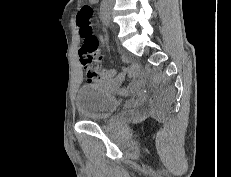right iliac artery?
Returning a JSON list of instances; mask_svg holds the SVG:
<instances>
[{"mask_svg":"<svg viewBox=\"0 0 231 177\" xmlns=\"http://www.w3.org/2000/svg\"><path fill=\"white\" fill-rule=\"evenodd\" d=\"M100 18H101V21L103 22V24L105 26L108 27L110 25L109 15H108V12H107V6L105 4L101 6Z\"/></svg>","mask_w":231,"mask_h":177,"instance_id":"82829eb1","label":"right iliac artery"}]
</instances>
